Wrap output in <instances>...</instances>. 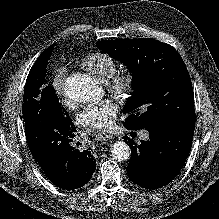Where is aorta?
<instances>
[{
  "instance_id": "1",
  "label": "aorta",
  "mask_w": 219,
  "mask_h": 219,
  "mask_svg": "<svg viewBox=\"0 0 219 219\" xmlns=\"http://www.w3.org/2000/svg\"><path fill=\"white\" fill-rule=\"evenodd\" d=\"M66 95L76 102H91L98 99L100 88L91 76L76 74L67 78L65 83ZM111 153L118 161L128 160L131 154L130 147L123 141H116L111 146Z\"/></svg>"
}]
</instances>
